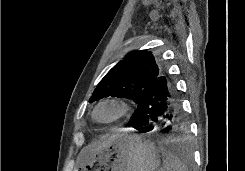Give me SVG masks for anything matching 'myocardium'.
I'll use <instances>...</instances> for the list:
<instances>
[{"label": "myocardium", "instance_id": "1", "mask_svg": "<svg viewBox=\"0 0 245 171\" xmlns=\"http://www.w3.org/2000/svg\"><path fill=\"white\" fill-rule=\"evenodd\" d=\"M108 105L116 107L117 114L113 118L108 120L99 119L97 116L99 109L103 106H108ZM129 111H130V105L126 100L122 98L112 97V98H107L105 100H102L96 105L94 109L93 117L95 118V120H97L100 123L112 124L126 117Z\"/></svg>", "mask_w": 245, "mask_h": 171}]
</instances>
